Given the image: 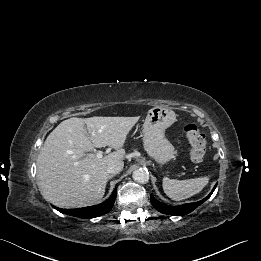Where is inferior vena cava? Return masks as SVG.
<instances>
[{
  "label": "inferior vena cava",
  "mask_w": 261,
  "mask_h": 261,
  "mask_svg": "<svg viewBox=\"0 0 261 261\" xmlns=\"http://www.w3.org/2000/svg\"><path fill=\"white\" fill-rule=\"evenodd\" d=\"M123 170V164L121 163H114L107 167V173L111 175H115L120 173Z\"/></svg>",
  "instance_id": "602c4592"
}]
</instances>
